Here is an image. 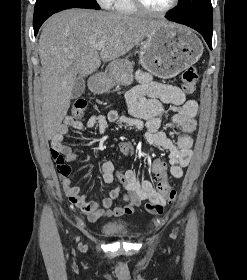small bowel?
<instances>
[{"instance_id":"1","label":"small bowel","mask_w":247,"mask_h":280,"mask_svg":"<svg viewBox=\"0 0 247 280\" xmlns=\"http://www.w3.org/2000/svg\"><path fill=\"white\" fill-rule=\"evenodd\" d=\"M136 77L138 85L126 95L130 116L121 115L117 111L111 110L92 115L86 121L76 120L71 116L65 117L52 133V156L55 154L62 156L67 165L77 160V154L64 143V136L69 128L84 130L96 127L98 132L102 134L106 131L109 123H119L137 129L146 128V142L169 152L170 174L174 178H181L184 168L192 157L193 141L190 134L196 129L195 117L198 104L195 100L187 99L178 87L157 82L144 71H138ZM166 106L174 112L172 122L181 131L175 141L168 138L164 132L159 131L161 120L167 111ZM124 176L130 180L131 185L125 191L122 203L114 208H112L113 203L119 197L120 191L112 189L102 198H88L81 194L80 187L74 184L70 172L60 174V179L70 202L90 221H96L102 217L131 215L134 213L135 207L143 201H148L146 210L149 213L163 211L166 199L153 188L149 180L139 181L136 173L132 170H128ZM102 179L105 183L114 181L115 166L112 162L103 163Z\"/></svg>"}]
</instances>
